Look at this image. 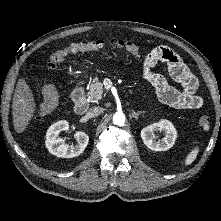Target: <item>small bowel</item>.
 Instances as JSON below:
<instances>
[{
  "label": "small bowel",
  "instance_id": "obj_1",
  "mask_svg": "<svg viewBox=\"0 0 221 221\" xmlns=\"http://www.w3.org/2000/svg\"><path fill=\"white\" fill-rule=\"evenodd\" d=\"M167 64L172 78L180 84L176 89L168 84L166 79L153 71L159 63ZM144 78L155 88L158 99L171 107L178 109H198L202 106L201 97L196 94L198 81L188 70L181 58L167 46L153 48L143 61Z\"/></svg>",
  "mask_w": 221,
  "mask_h": 221
}]
</instances>
